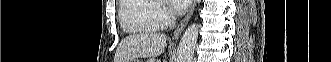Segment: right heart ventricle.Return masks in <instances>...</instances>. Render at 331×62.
<instances>
[{"label": "right heart ventricle", "mask_w": 331, "mask_h": 62, "mask_svg": "<svg viewBox=\"0 0 331 62\" xmlns=\"http://www.w3.org/2000/svg\"><path fill=\"white\" fill-rule=\"evenodd\" d=\"M155 6L149 0H122L119 6V21L128 33H151L158 29L154 19Z\"/></svg>", "instance_id": "e07e8e85"}]
</instances>
